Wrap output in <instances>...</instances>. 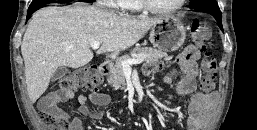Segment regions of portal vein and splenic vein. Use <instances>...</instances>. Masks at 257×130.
Here are the masks:
<instances>
[{
	"instance_id": "portal-vein-and-splenic-vein-1",
	"label": "portal vein and splenic vein",
	"mask_w": 257,
	"mask_h": 130,
	"mask_svg": "<svg viewBox=\"0 0 257 130\" xmlns=\"http://www.w3.org/2000/svg\"><path fill=\"white\" fill-rule=\"evenodd\" d=\"M101 42L95 41L91 44V47L96 50L99 48ZM144 60L142 58L130 59L122 62V68L124 72H131V65L141 64Z\"/></svg>"
}]
</instances>
